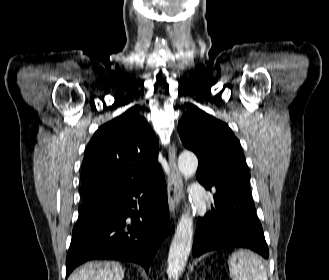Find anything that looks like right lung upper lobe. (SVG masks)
I'll use <instances>...</instances> for the list:
<instances>
[{
    "mask_svg": "<svg viewBox=\"0 0 329 280\" xmlns=\"http://www.w3.org/2000/svg\"><path fill=\"white\" fill-rule=\"evenodd\" d=\"M157 143L146 119L133 110L99 127L85 149L83 199L107 187L143 183L163 174Z\"/></svg>",
    "mask_w": 329,
    "mask_h": 280,
    "instance_id": "cb5924a9",
    "label": "right lung upper lobe"
}]
</instances>
